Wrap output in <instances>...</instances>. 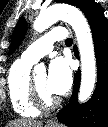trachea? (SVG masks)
I'll list each match as a JSON object with an SVG mask.
<instances>
[{"mask_svg":"<svg viewBox=\"0 0 108 127\" xmlns=\"http://www.w3.org/2000/svg\"><path fill=\"white\" fill-rule=\"evenodd\" d=\"M72 42H73V40H72L71 38H68V39H66V41H65L66 44H72Z\"/></svg>","mask_w":108,"mask_h":127,"instance_id":"1","label":"trachea"}]
</instances>
